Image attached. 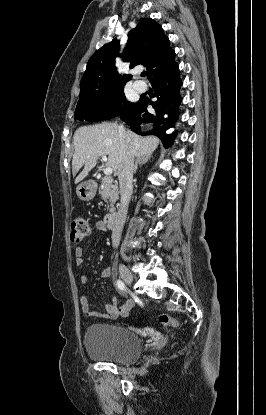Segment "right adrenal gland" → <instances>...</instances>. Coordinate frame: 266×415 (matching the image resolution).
Wrapping results in <instances>:
<instances>
[{"label": "right adrenal gland", "instance_id": "2a0ac1e0", "mask_svg": "<svg viewBox=\"0 0 266 415\" xmlns=\"http://www.w3.org/2000/svg\"><path fill=\"white\" fill-rule=\"evenodd\" d=\"M152 157V154H148L145 156L137 157L135 160V166H134V174L136 173L138 166H142L143 164L147 163Z\"/></svg>", "mask_w": 266, "mask_h": 415}]
</instances>
